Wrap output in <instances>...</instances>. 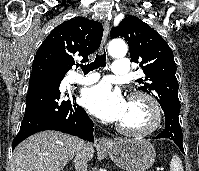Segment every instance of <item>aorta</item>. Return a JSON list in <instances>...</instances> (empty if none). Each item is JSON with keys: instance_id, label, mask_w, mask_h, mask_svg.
Returning a JSON list of instances; mask_svg holds the SVG:
<instances>
[{"instance_id": "obj_1", "label": "aorta", "mask_w": 199, "mask_h": 171, "mask_svg": "<svg viewBox=\"0 0 199 171\" xmlns=\"http://www.w3.org/2000/svg\"><path fill=\"white\" fill-rule=\"evenodd\" d=\"M108 51L114 57H121L127 53V45L121 39H114L109 43Z\"/></svg>"}]
</instances>
